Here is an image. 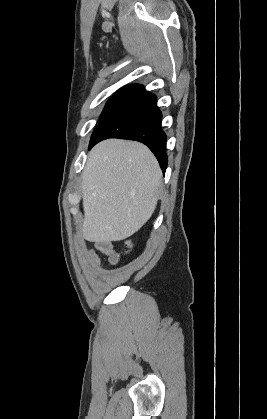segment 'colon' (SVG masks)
I'll return each instance as SVG.
<instances>
[{"label":"colon","mask_w":267,"mask_h":419,"mask_svg":"<svg viewBox=\"0 0 267 419\" xmlns=\"http://www.w3.org/2000/svg\"><path fill=\"white\" fill-rule=\"evenodd\" d=\"M133 247V243L131 241H127L126 243V252L129 251Z\"/></svg>","instance_id":"colon-1"}]
</instances>
